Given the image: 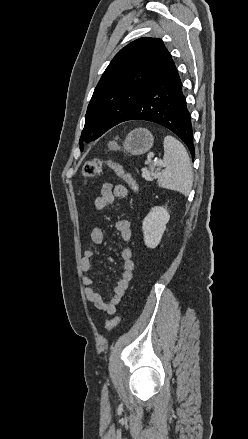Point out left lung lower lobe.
I'll return each mask as SVG.
<instances>
[{"mask_svg": "<svg viewBox=\"0 0 248 439\" xmlns=\"http://www.w3.org/2000/svg\"><path fill=\"white\" fill-rule=\"evenodd\" d=\"M129 120H146L168 128L186 144L194 158L191 117L172 59L120 123Z\"/></svg>", "mask_w": 248, "mask_h": 439, "instance_id": "1", "label": "left lung lower lobe"}]
</instances>
